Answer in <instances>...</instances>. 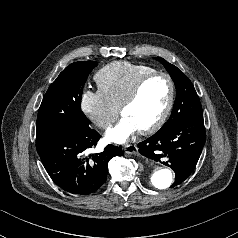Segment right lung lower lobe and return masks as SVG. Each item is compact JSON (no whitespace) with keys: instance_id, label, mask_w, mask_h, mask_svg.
Returning <instances> with one entry per match:
<instances>
[{"instance_id":"98d812e1","label":"right lung lower lobe","mask_w":238,"mask_h":238,"mask_svg":"<svg viewBox=\"0 0 238 238\" xmlns=\"http://www.w3.org/2000/svg\"><path fill=\"white\" fill-rule=\"evenodd\" d=\"M99 139L100 134L88 125L64 127L36 138V149L47 173L61 189L87 195L105 183L108 161L124 155L120 147L108 145L103 152L86 156Z\"/></svg>"}]
</instances>
